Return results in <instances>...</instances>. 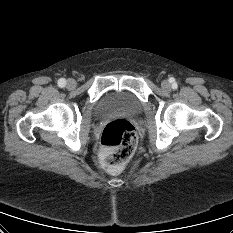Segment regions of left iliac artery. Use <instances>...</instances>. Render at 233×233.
<instances>
[{
	"instance_id": "obj_1",
	"label": "left iliac artery",
	"mask_w": 233,
	"mask_h": 233,
	"mask_svg": "<svg viewBox=\"0 0 233 233\" xmlns=\"http://www.w3.org/2000/svg\"><path fill=\"white\" fill-rule=\"evenodd\" d=\"M172 88H173V89H176V88H177V83H176V82H173V83H172Z\"/></svg>"
}]
</instances>
